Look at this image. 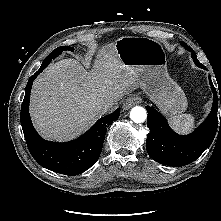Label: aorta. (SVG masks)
<instances>
[{
  "label": "aorta",
  "mask_w": 221,
  "mask_h": 221,
  "mask_svg": "<svg viewBox=\"0 0 221 221\" xmlns=\"http://www.w3.org/2000/svg\"><path fill=\"white\" fill-rule=\"evenodd\" d=\"M130 118L135 123H142L147 118V112L143 107L135 106L130 111Z\"/></svg>",
  "instance_id": "obj_1"
}]
</instances>
